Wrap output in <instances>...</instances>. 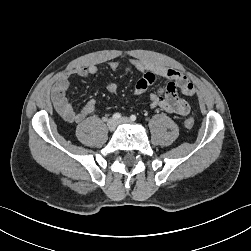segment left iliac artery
<instances>
[{
  "label": "left iliac artery",
  "instance_id": "44dca946",
  "mask_svg": "<svg viewBox=\"0 0 251 251\" xmlns=\"http://www.w3.org/2000/svg\"><path fill=\"white\" fill-rule=\"evenodd\" d=\"M136 118H137V117H136L135 115H131V116H130L131 121H135Z\"/></svg>",
  "mask_w": 251,
  "mask_h": 251
}]
</instances>
